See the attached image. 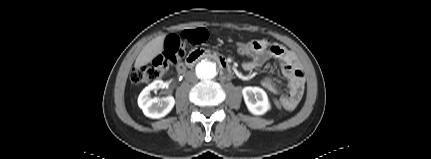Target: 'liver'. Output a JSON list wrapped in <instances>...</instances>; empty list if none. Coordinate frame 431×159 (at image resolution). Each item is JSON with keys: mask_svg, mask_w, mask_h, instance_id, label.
Here are the masks:
<instances>
[{"mask_svg": "<svg viewBox=\"0 0 431 159\" xmlns=\"http://www.w3.org/2000/svg\"><path fill=\"white\" fill-rule=\"evenodd\" d=\"M164 39L165 35L158 36L148 42L141 52L139 53L138 57L136 58L134 68L135 70H140V68L144 65H147L150 63L156 56L162 53L163 51V45H164Z\"/></svg>", "mask_w": 431, "mask_h": 159, "instance_id": "1", "label": "liver"}]
</instances>
